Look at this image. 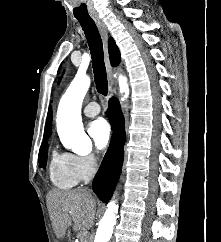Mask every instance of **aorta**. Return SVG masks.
Returning <instances> with one entry per match:
<instances>
[{
  "mask_svg": "<svg viewBox=\"0 0 221 242\" xmlns=\"http://www.w3.org/2000/svg\"><path fill=\"white\" fill-rule=\"evenodd\" d=\"M90 87V78L86 75H76L65 94L62 96L57 111V130L66 146L76 153L88 152L91 141L85 134L82 119L81 106L83 99ZM120 93L124 98L129 95L127 78L119 76ZM123 98V99H124ZM118 205L112 200L106 212L99 222L94 242H108L112 236L116 224V212Z\"/></svg>",
  "mask_w": 221,
  "mask_h": 242,
  "instance_id": "762f6f07",
  "label": "aorta"
}]
</instances>
